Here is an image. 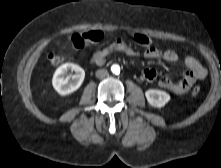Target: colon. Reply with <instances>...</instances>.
I'll list each match as a JSON object with an SVG mask.
<instances>
[{
  "label": "colon",
  "mask_w": 221,
  "mask_h": 168,
  "mask_svg": "<svg viewBox=\"0 0 221 168\" xmlns=\"http://www.w3.org/2000/svg\"><path fill=\"white\" fill-rule=\"evenodd\" d=\"M103 38V34L99 31H91V32H78L75 33L72 38V45L77 49H82L88 46L89 44L97 43L101 41ZM135 42L143 47H150L152 44V41L150 38L144 34L137 33L134 35ZM48 60L52 65H58L63 62L64 58L60 55H57L55 53H51L48 56ZM200 92L199 87H194L192 89V94L194 96L198 95Z\"/></svg>",
  "instance_id": "obj_1"
}]
</instances>
